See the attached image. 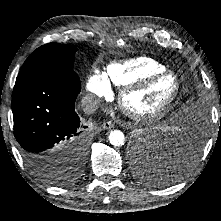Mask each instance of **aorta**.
<instances>
[{"label": "aorta", "instance_id": "aorta-1", "mask_svg": "<svg viewBox=\"0 0 221 221\" xmlns=\"http://www.w3.org/2000/svg\"><path fill=\"white\" fill-rule=\"evenodd\" d=\"M109 142L116 147H120L125 142V136L120 130H113L108 136Z\"/></svg>", "mask_w": 221, "mask_h": 221}]
</instances>
